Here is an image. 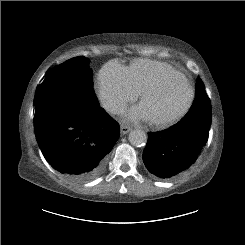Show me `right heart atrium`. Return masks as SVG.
<instances>
[{
    "label": "right heart atrium",
    "mask_w": 245,
    "mask_h": 245,
    "mask_svg": "<svg viewBox=\"0 0 245 245\" xmlns=\"http://www.w3.org/2000/svg\"><path fill=\"white\" fill-rule=\"evenodd\" d=\"M96 89L106 109L116 115L123 113L127 106L138 98L127 68L117 61L104 65L99 72Z\"/></svg>",
    "instance_id": "d8ad5b80"
}]
</instances>
